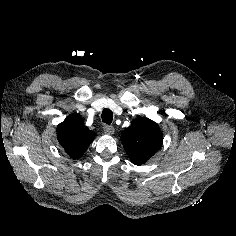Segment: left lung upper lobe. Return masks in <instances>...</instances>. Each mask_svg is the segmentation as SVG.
<instances>
[{
	"instance_id": "left-lung-upper-lobe-1",
	"label": "left lung upper lobe",
	"mask_w": 236,
	"mask_h": 236,
	"mask_svg": "<svg viewBox=\"0 0 236 236\" xmlns=\"http://www.w3.org/2000/svg\"><path fill=\"white\" fill-rule=\"evenodd\" d=\"M121 141L131 162L141 165L160 149L163 135L157 123L140 117L122 132Z\"/></svg>"
}]
</instances>
